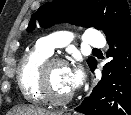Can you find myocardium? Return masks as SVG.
Segmentation results:
<instances>
[{"label":"myocardium","instance_id":"obj_1","mask_svg":"<svg viewBox=\"0 0 131 115\" xmlns=\"http://www.w3.org/2000/svg\"><path fill=\"white\" fill-rule=\"evenodd\" d=\"M54 65H61L67 67L68 63L65 59L59 57L47 58L40 65L38 70L37 89L45 102H48L52 105H64L67 104L73 98V93H70L65 97H55L51 95L48 89L47 72Z\"/></svg>","mask_w":131,"mask_h":115}]
</instances>
